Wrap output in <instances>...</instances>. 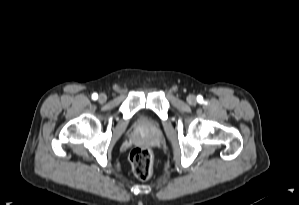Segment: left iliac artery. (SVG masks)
I'll list each match as a JSON object with an SVG mask.
<instances>
[{
    "mask_svg": "<svg viewBox=\"0 0 299 205\" xmlns=\"http://www.w3.org/2000/svg\"><path fill=\"white\" fill-rule=\"evenodd\" d=\"M202 100H203L202 96H198V97H197V101H198V102H202Z\"/></svg>",
    "mask_w": 299,
    "mask_h": 205,
    "instance_id": "obj_1",
    "label": "left iliac artery"
}]
</instances>
